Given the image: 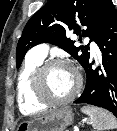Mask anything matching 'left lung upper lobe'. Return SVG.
<instances>
[{
  "mask_svg": "<svg viewBox=\"0 0 117 131\" xmlns=\"http://www.w3.org/2000/svg\"><path fill=\"white\" fill-rule=\"evenodd\" d=\"M111 0H50L37 11L26 24L16 50V65L20 67L26 52L33 46L48 42L63 48L84 66L89 61L85 48L74 46L66 37L73 31L76 35L96 41L105 12ZM83 26V28L81 27ZM82 50V52H80Z\"/></svg>",
  "mask_w": 117,
  "mask_h": 131,
  "instance_id": "5c2ea615",
  "label": "left lung upper lobe"
}]
</instances>
